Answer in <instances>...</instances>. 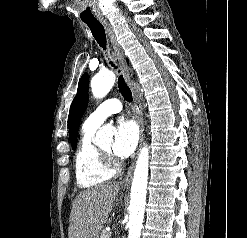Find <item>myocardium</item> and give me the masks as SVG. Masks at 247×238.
<instances>
[{"label":"myocardium","mask_w":247,"mask_h":238,"mask_svg":"<svg viewBox=\"0 0 247 238\" xmlns=\"http://www.w3.org/2000/svg\"><path fill=\"white\" fill-rule=\"evenodd\" d=\"M101 159L106 167L109 169L115 171L118 170L120 167L119 162L113 157V155L110 152H106L103 149H99Z\"/></svg>","instance_id":"1"}]
</instances>
